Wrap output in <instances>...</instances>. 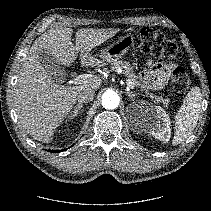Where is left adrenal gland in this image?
Returning <instances> with one entry per match:
<instances>
[{"label":"left adrenal gland","mask_w":211,"mask_h":211,"mask_svg":"<svg viewBox=\"0 0 211 211\" xmlns=\"http://www.w3.org/2000/svg\"><path fill=\"white\" fill-rule=\"evenodd\" d=\"M126 94L130 97V99L133 101L134 98L138 95L137 93H133L130 91H127Z\"/></svg>","instance_id":"left-adrenal-gland-1"}]
</instances>
